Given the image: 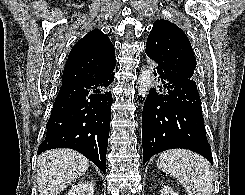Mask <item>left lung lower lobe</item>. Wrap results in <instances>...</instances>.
Returning <instances> with one entry per match:
<instances>
[{
  "label": "left lung lower lobe",
  "mask_w": 245,
  "mask_h": 195,
  "mask_svg": "<svg viewBox=\"0 0 245 195\" xmlns=\"http://www.w3.org/2000/svg\"><path fill=\"white\" fill-rule=\"evenodd\" d=\"M154 76L159 85L149 91L143 107V163L174 148L189 149L213 163L196 83L181 80L158 66Z\"/></svg>",
  "instance_id": "obj_1"
}]
</instances>
